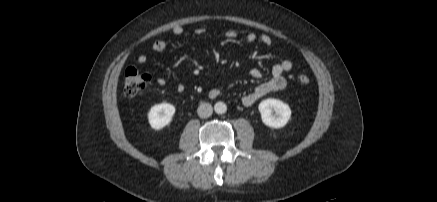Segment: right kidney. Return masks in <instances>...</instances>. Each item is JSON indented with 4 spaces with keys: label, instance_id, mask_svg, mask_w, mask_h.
I'll use <instances>...</instances> for the list:
<instances>
[{
    "label": "right kidney",
    "instance_id": "obj_1",
    "mask_svg": "<svg viewBox=\"0 0 437 202\" xmlns=\"http://www.w3.org/2000/svg\"><path fill=\"white\" fill-rule=\"evenodd\" d=\"M175 113V107L169 103H161L151 107L148 112V121L155 130L167 126Z\"/></svg>",
    "mask_w": 437,
    "mask_h": 202
}]
</instances>
